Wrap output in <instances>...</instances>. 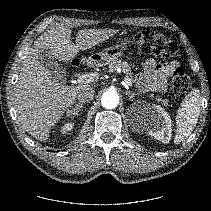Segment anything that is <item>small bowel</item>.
<instances>
[{
    "label": "small bowel",
    "mask_w": 211,
    "mask_h": 211,
    "mask_svg": "<svg viewBox=\"0 0 211 211\" xmlns=\"http://www.w3.org/2000/svg\"><path fill=\"white\" fill-rule=\"evenodd\" d=\"M176 67L174 61L163 63L150 58L143 63L144 72L137 75L136 79L145 90L163 92L167 88L169 75Z\"/></svg>",
    "instance_id": "small-bowel-1"
}]
</instances>
